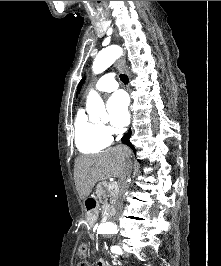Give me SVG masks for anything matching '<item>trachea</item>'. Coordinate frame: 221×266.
<instances>
[{"label": "trachea", "mask_w": 221, "mask_h": 266, "mask_svg": "<svg viewBox=\"0 0 221 266\" xmlns=\"http://www.w3.org/2000/svg\"><path fill=\"white\" fill-rule=\"evenodd\" d=\"M120 80L124 83V84H128V77L125 74H120Z\"/></svg>", "instance_id": "trachea-1"}]
</instances>
